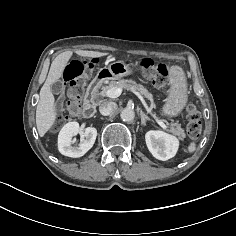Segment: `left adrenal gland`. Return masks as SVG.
I'll return each mask as SVG.
<instances>
[{"mask_svg":"<svg viewBox=\"0 0 236 236\" xmlns=\"http://www.w3.org/2000/svg\"><path fill=\"white\" fill-rule=\"evenodd\" d=\"M140 116H141V124L145 126L146 122L150 120V118L143 111H140Z\"/></svg>","mask_w":236,"mask_h":236,"instance_id":"left-adrenal-gland-1","label":"left adrenal gland"}]
</instances>
